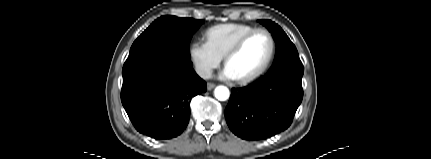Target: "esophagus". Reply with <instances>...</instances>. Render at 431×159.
<instances>
[{
    "instance_id": "1",
    "label": "esophagus",
    "mask_w": 431,
    "mask_h": 159,
    "mask_svg": "<svg viewBox=\"0 0 431 159\" xmlns=\"http://www.w3.org/2000/svg\"><path fill=\"white\" fill-rule=\"evenodd\" d=\"M216 85L214 83H208L207 84V89L210 91L212 90Z\"/></svg>"
}]
</instances>
